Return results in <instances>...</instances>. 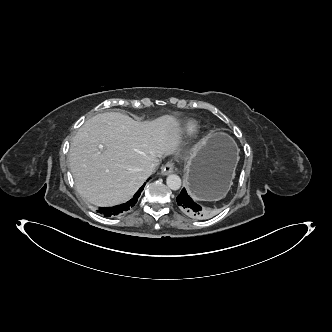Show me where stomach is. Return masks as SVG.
<instances>
[{
  "instance_id": "1",
  "label": "stomach",
  "mask_w": 332,
  "mask_h": 332,
  "mask_svg": "<svg viewBox=\"0 0 332 332\" xmlns=\"http://www.w3.org/2000/svg\"><path fill=\"white\" fill-rule=\"evenodd\" d=\"M239 151L227 134L206 136L185 166V183L197 201H216L226 196L235 174Z\"/></svg>"
}]
</instances>
